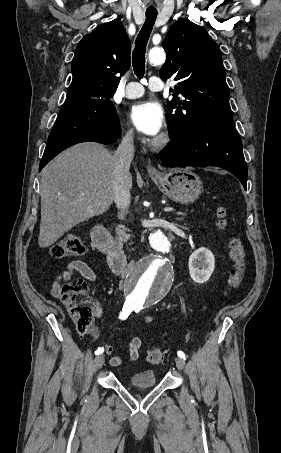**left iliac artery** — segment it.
<instances>
[{
    "label": "left iliac artery",
    "instance_id": "44dca946",
    "mask_svg": "<svg viewBox=\"0 0 281 453\" xmlns=\"http://www.w3.org/2000/svg\"><path fill=\"white\" fill-rule=\"evenodd\" d=\"M141 309H143V307L141 305H134L133 306V310L137 313L139 312ZM178 356L180 358H183L185 360V354L182 352V351H178Z\"/></svg>",
    "mask_w": 281,
    "mask_h": 453
}]
</instances>
